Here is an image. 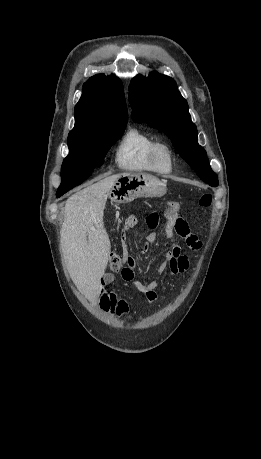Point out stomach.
I'll use <instances>...</instances> for the list:
<instances>
[{"label":"stomach","instance_id":"obj_1","mask_svg":"<svg viewBox=\"0 0 261 459\" xmlns=\"http://www.w3.org/2000/svg\"><path fill=\"white\" fill-rule=\"evenodd\" d=\"M165 193L164 183L152 175L138 172L122 174L110 191L111 199L117 204L129 203L140 197H161Z\"/></svg>","mask_w":261,"mask_h":459}]
</instances>
